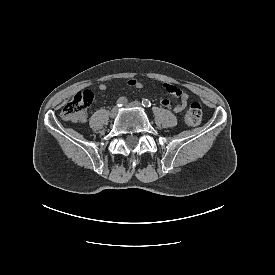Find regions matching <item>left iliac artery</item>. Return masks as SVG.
Here are the masks:
<instances>
[{"label": "left iliac artery", "mask_w": 275, "mask_h": 275, "mask_svg": "<svg viewBox=\"0 0 275 275\" xmlns=\"http://www.w3.org/2000/svg\"><path fill=\"white\" fill-rule=\"evenodd\" d=\"M142 105L144 107H150L151 106V102L148 99H143L142 100Z\"/></svg>", "instance_id": "1"}]
</instances>
